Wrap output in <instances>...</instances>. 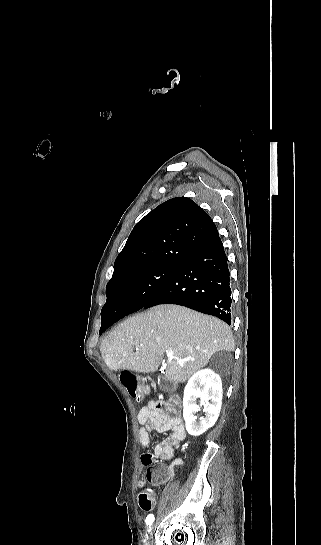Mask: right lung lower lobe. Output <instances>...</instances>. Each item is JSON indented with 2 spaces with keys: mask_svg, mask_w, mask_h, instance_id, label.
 <instances>
[{
  "mask_svg": "<svg viewBox=\"0 0 321 545\" xmlns=\"http://www.w3.org/2000/svg\"><path fill=\"white\" fill-rule=\"evenodd\" d=\"M227 257L219 234L194 252L174 276L143 306L178 304L196 311L216 316L231 324V289ZM126 312L121 305H104L101 315L108 327L123 318Z\"/></svg>",
  "mask_w": 321,
  "mask_h": 545,
  "instance_id": "right-lung-lower-lobe-1",
  "label": "right lung lower lobe"
}]
</instances>
